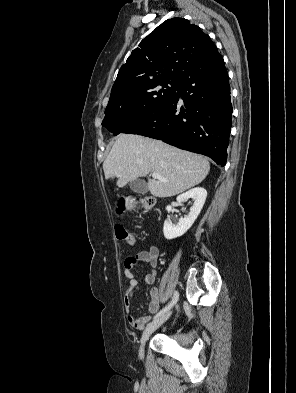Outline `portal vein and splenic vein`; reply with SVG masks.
<instances>
[{"label": "portal vein and splenic vein", "mask_w": 296, "mask_h": 393, "mask_svg": "<svg viewBox=\"0 0 296 393\" xmlns=\"http://www.w3.org/2000/svg\"><path fill=\"white\" fill-rule=\"evenodd\" d=\"M151 175H152L153 179H158V180L163 181V182L167 181L165 178L161 177L158 173H152Z\"/></svg>", "instance_id": "portal-vein-and-splenic-vein-1"}]
</instances>
